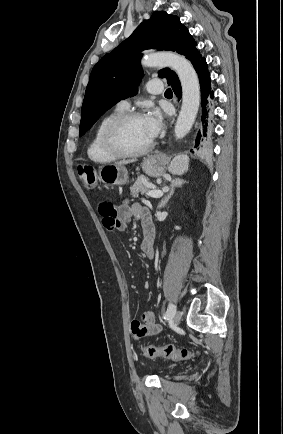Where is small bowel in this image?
I'll return each instance as SVG.
<instances>
[{"label":"small bowel","instance_id":"c3829d8e","mask_svg":"<svg viewBox=\"0 0 283 434\" xmlns=\"http://www.w3.org/2000/svg\"><path fill=\"white\" fill-rule=\"evenodd\" d=\"M98 210L102 216L104 227L112 233L123 231L131 218L140 221L143 228L146 225H152L149 212L138 203L125 202L121 205H115L112 200L102 198L98 202ZM141 249L149 259L154 258L153 243L149 244L144 240ZM160 331L161 326L157 324L155 315L151 311L144 312L139 320H134L131 323V333L136 339L154 335Z\"/></svg>","mask_w":283,"mask_h":434}]
</instances>
